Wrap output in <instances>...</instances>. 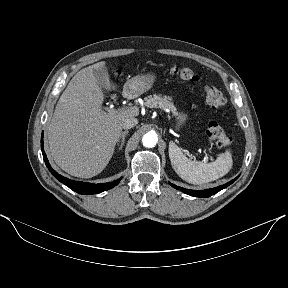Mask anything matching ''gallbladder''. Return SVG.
<instances>
[{"label":"gallbladder","instance_id":"bac80fb5","mask_svg":"<svg viewBox=\"0 0 288 288\" xmlns=\"http://www.w3.org/2000/svg\"><path fill=\"white\" fill-rule=\"evenodd\" d=\"M94 74L97 80V84L100 88H107L106 87V78L108 77V72L106 67H102L98 70H94Z\"/></svg>","mask_w":288,"mask_h":288}]
</instances>
